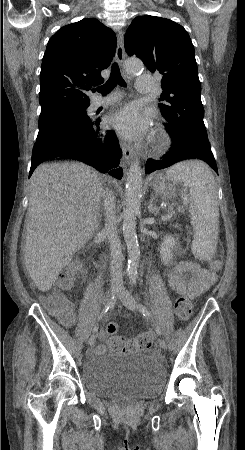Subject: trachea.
<instances>
[{
  "label": "trachea",
  "instance_id": "1",
  "mask_svg": "<svg viewBox=\"0 0 245 450\" xmlns=\"http://www.w3.org/2000/svg\"><path fill=\"white\" fill-rule=\"evenodd\" d=\"M116 85L124 86L125 82L121 76L120 69L117 63L112 65L111 74L109 79L104 85H101L97 88L98 92L102 95L108 94L111 92Z\"/></svg>",
  "mask_w": 245,
  "mask_h": 450
}]
</instances>
